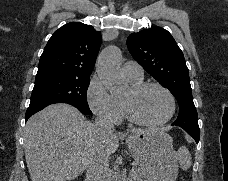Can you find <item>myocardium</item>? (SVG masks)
<instances>
[{"mask_svg":"<svg viewBox=\"0 0 228 181\" xmlns=\"http://www.w3.org/2000/svg\"><path fill=\"white\" fill-rule=\"evenodd\" d=\"M147 88H156L161 91L168 100V109L164 117L156 121H149L142 118L135 109L136 97ZM126 110L131 120L137 124L146 126H159L167 122L174 111V99L173 96L161 85L156 82H140L131 86L128 92V96L125 100Z\"/></svg>","mask_w":228,"mask_h":181,"instance_id":"myocardium-1","label":"myocardium"}]
</instances>
